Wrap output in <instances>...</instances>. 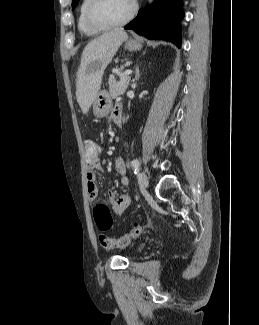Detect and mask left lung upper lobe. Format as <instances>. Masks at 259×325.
Segmentation results:
<instances>
[{
    "label": "left lung upper lobe",
    "instance_id": "5c2ea615",
    "mask_svg": "<svg viewBox=\"0 0 259 325\" xmlns=\"http://www.w3.org/2000/svg\"><path fill=\"white\" fill-rule=\"evenodd\" d=\"M79 0H72V8L74 9L77 6Z\"/></svg>",
    "mask_w": 259,
    "mask_h": 325
}]
</instances>
